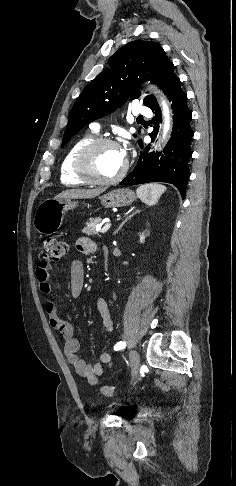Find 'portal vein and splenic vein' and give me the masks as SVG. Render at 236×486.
Returning <instances> with one entry per match:
<instances>
[{"instance_id":"1","label":"portal vein and splenic vein","mask_w":236,"mask_h":486,"mask_svg":"<svg viewBox=\"0 0 236 486\" xmlns=\"http://www.w3.org/2000/svg\"><path fill=\"white\" fill-rule=\"evenodd\" d=\"M111 227V223H106L102 228L97 227L96 230L100 231L101 233H106Z\"/></svg>"}]
</instances>
